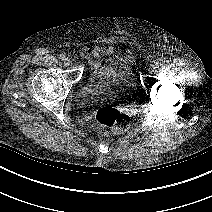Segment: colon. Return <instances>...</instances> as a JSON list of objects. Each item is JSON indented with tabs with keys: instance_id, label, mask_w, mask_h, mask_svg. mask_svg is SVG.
<instances>
[{
	"instance_id": "1",
	"label": "colon",
	"mask_w": 212,
	"mask_h": 212,
	"mask_svg": "<svg viewBox=\"0 0 212 212\" xmlns=\"http://www.w3.org/2000/svg\"><path fill=\"white\" fill-rule=\"evenodd\" d=\"M95 119L100 126L101 135L123 132L130 124V117L125 112L112 107L100 109Z\"/></svg>"
}]
</instances>
